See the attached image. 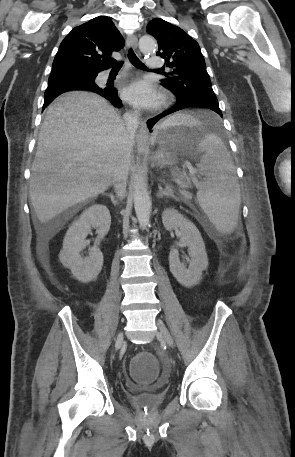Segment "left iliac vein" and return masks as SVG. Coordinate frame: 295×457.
I'll use <instances>...</instances> for the list:
<instances>
[{"label":"left iliac vein","instance_id":"obj_1","mask_svg":"<svg viewBox=\"0 0 295 457\" xmlns=\"http://www.w3.org/2000/svg\"><path fill=\"white\" fill-rule=\"evenodd\" d=\"M157 326H158V330H159V334L162 336V338L164 339V341L171 347V348H174V341H173V338L172 336L170 335L168 329L166 328V326L163 324L162 321L158 320L157 321Z\"/></svg>","mask_w":295,"mask_h":457}]
</instances>
